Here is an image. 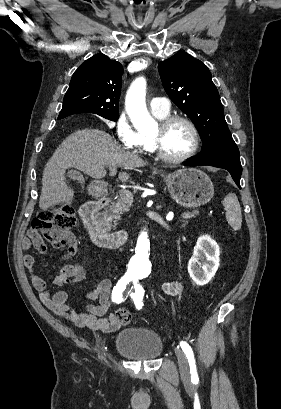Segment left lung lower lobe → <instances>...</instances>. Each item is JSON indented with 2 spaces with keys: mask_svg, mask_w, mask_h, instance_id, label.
<instances>
[{
  "mask_svg": "<svg viewBox=\"0 0 281 409\" xmlns=\"http://www.w3.org/2000/svg\"><path fill=\"white\" fill-rule=\"evenodd\" d=\"M185 166L189 165H209L218 168L226 169L230 172L235 183L240 187V177L242 174V166L240 157L236 155H210L197 156L188 160Z\"/></svg>",
  "mask_w": 281,
  "mask_h": 409,
  "instance_id": "0a47b994",
  "label": "left lung lower lobe"
}]
</instances>
